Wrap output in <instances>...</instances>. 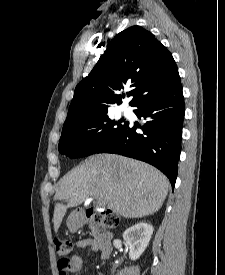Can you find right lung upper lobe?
<instances>
[{
  "instance_id": "right-lung-upper-lobe-1",
  "label": "right lung upper lobe",
  "mask_w": 225,
  "mask_h": 275,
  "mask_svg": "<svg viewBox=\"0 0 225 275\" xmlns=\"http://www.w3.org/2000/svg\"><path fill=\"white\" fill-rule=\"evenodd\" d=\"M180 80L172 54L155 36L140 26L117 34L93 70L75 88L66 127L121 104L125 88L133 106L145 96Z\"/></svg>"
}]
</instances>
